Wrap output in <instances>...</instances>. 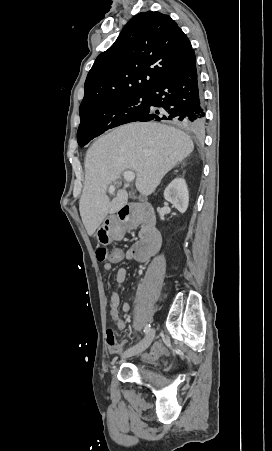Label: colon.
Wrapping results in <instances>:
<instances>
[{"label":"colon","mask_w":272,"mask_h":451,"mask_svg":"<svg viewBox=\"0 0 272 451\" xmlns=\"http://www.w3.org/2000/svg\"><path fill=\"white\" fill-rule=\"evenodd\" d=\"M96 259L98 262H105L107 258H114L118 254H121L117 247H112L111 249H98ZM107 333V343L109 346H114L116 344L115 330L112 326H108L106 329Z\"/></svg>","instance_id":"colon-1"}]
</instances>
